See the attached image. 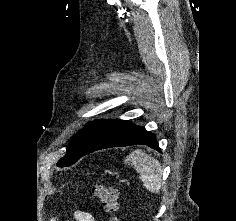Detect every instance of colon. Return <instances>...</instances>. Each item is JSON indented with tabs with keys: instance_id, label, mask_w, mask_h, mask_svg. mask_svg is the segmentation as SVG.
Masks as SVG:
<instances>
[{
	"instance_id": "1",
	"label": "colon",
	"mask_w": 236,
	"mask_h": 221,
	"mask_svg": "<svg viewBox=\"0 0 236 221\" xmlns=\"http://www.w3.org/2000/svg\"><path fill=\"white\" fill-rule=\"evenodd\" d=\"M91 193L101 201L104 210L110 215L109 221H117L115 216L119 207L117 188L98 183L91 188Z\"/></svg>"
}]
</instances>
